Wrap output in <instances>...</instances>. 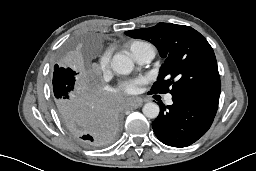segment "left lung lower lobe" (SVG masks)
Here are the masks:
<instances>
[{"label":"left lung lower lobe","instance_id":"1","mask_svg":"<svg viewBox=\"0 0 256 171\" xmlns=\"http://www.w3.org/2000/svg\"><path fill=\"white\" fill-rule=\"evenodd\" d=\"M173 104L161 106L152 122L156 137L173 147H186L197 141L210 128L217 112L219 97L192 91L172 95Z\"/></svg>","mask_w":256,"mask_h":171}]
</instances>
